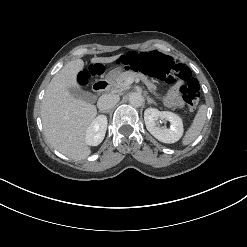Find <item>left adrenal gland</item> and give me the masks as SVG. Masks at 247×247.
Masks as SVG:
<instances>
[{
	"label": "left adrenal gland",
	"mask_w": 247,
	"mask_h": 247,
	"mask_svg": "<svg viewBox=\"0 0 247 247\" xmlns=\"http://www.w3.org/2000/svg\"><path fill=\"white\" fill-rule=\"evenodd\" d=\"M147 102H148V104H154V105H157V103L152 99V98H150L149 96H147Z\"/></svg>",
	"instance_id": "left-adrenal-gland-1"
}]
</instances>
